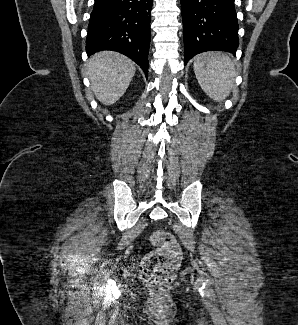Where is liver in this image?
<instances>
[{
	"mask_svg": "<svg viewBox=\"0 0 298 325\" xmlns=\"http://www.w3.org/2000/svg\"><path fill=\"white\" fill-rule=\"evenodd\" d=\"M134 74L133 60L119 52L102 50L89 58L87 76L96 98L103 104H114L119 100Z\"/></svg>",
	"mask_w": 298,
	"mask_h": 325,
	"instance_id": "obj_1",
	"label": "liver"
}]
</instances>
